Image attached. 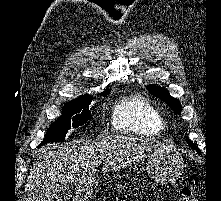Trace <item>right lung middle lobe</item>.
I'll use <instances>...</instances> for the list:
<instances>
[{"instance_id":"dd1d6c3e","label":"right lung middle lobe","mask_w":221,"mask_h":201,"mask_svg":"<svg viewBox=\"0 0 221 201\" xmlns=\"http://www.w3.org/2000/svg\"><path fill=\"white\" fill-rule=\"evenodd\" d=\"M109 93L110 91H107L101 93V95L106 96ZM91 101V96H87L66 103L62 116L50 126L44 140L39 146L49 142L64 141L70 128H77L86 123L91 116V112L88 108Z\"/></svg>"}]
</instances>
